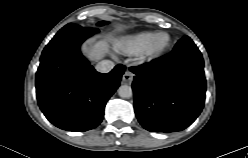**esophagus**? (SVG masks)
I'll return each instance as SVG.
<instances>
[{
  "instance_id": "1",
  "label": "esophagus",
  "mask_w": 248,
  "mask_h": 158,
  "mask_svg": "<svg viewBox=\"0 0 248 158\" xmlns=\"http://www.w3.org/2000/svg\"><path fill=\"white\" fill-rule=\"evenodd\" d=\"M133 77H134V74L131 71L126 70L122 76V81L125 84H131V82L133 81Z\"/></svg>"
}]
</instances>
